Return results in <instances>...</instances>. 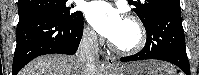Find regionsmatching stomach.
I'll use <instances>...</instances> for the list:
<instances>
[{
  "label": "stomach",
  "mask_w": 199,
  "mask_h": 75,
  "mask_svg": "<svg viewBox=\"0 0 199 75\" xmlns=\"http://www.w3.org/2000/svg\"><path fill=\"white\" fill-rule=\"evenodd\" d=\"M173 73L169 64L158 61L131 62L123 64L117 71V75H173Z\"/></svg>",
  "instance_id": "0dacf381"
}]
</instances>
